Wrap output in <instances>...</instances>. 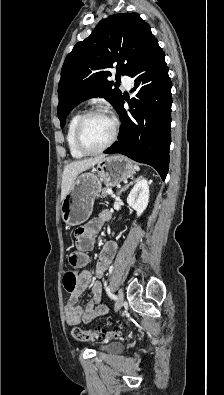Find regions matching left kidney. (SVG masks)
<instances>
[{
	"label": "left kidney",
	"mask_w": 224,
	"mask_h": 395,
	"mask_svg": "<svg viewBox=\"0 0 224 395\" xmlns=\"http://www.w3.org/2000/svg\"><path fill=\"white\" fill-rule=\"evenodd\" d=\"M148 202L149 183L147 179L140 177L131 189L127 197V203L137 212V216H140L146 209Z\"/></svg>",
	"instance_id": "1"
}]
</instances>
